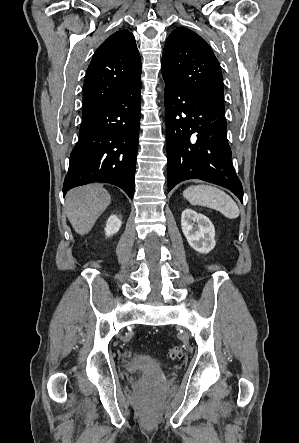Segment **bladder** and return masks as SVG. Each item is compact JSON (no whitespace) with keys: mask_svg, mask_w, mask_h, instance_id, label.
Returning a JSON list of instances; mask_svg holds the SVG:
<instances>
[{"mask_svg":"<svg viewBox=\"0 0 299 443\" xmlns=\"http://www.w3.org/2000/svg\"><path fill=\"white\" fill-rule=\"evenodd\" d=\"M127 370L133 372L140 371L151 380L164 379V374L156 362L147 356H136L132 358L127 364Z\"/></svg>","mask_w":299,"mask_h":443,"instance_id":"bladder-1","label":"bladder"}]
</instances>
